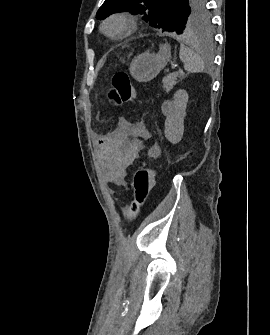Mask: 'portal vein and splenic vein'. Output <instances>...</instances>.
I'll return each instance as SVG.
<instances>
[{"label":"portal vein and splenic vein","instance_id":"portal-vein-and-splenic-vein-1","mask_svg":"<svg viewBox=\"0 0 270 335\" xmlns=\"http://www.w3.org/2000/svg\"><path fill=\"white\" fill-rule=\"evenodd\" d=\"M172 65H173V68H175V69L178 67L177 64H176L175 62H174ZM179 72H180V74H183L182 70H179ZM175 73H176V72H175Z\"/></svg>","mask_w":270,"mask_h":335}]
</instances>
